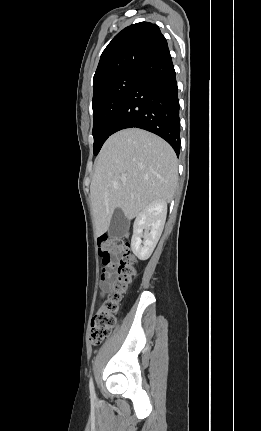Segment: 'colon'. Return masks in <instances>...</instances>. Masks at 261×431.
Segmentation results:
<instances>
[{"instance_id": "5ec220e1", "label": "colon", "mask_w": 261, "mask_h": 431, "mask_svg": "<svg viewBox=\"0 0 261 431\" xmlns=\"http://www.w3.org/2000/svg\"><path fill=\"white\" fill-rule=\"evenodd\" d=\"M98 247L102 264L114 267L116 278L91 321L89 338L94 345L100 344L114 328L123 296L136 275V259L128 242L103 235L98 239Z\"/></svg>"}]
</instances>
